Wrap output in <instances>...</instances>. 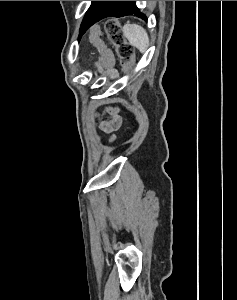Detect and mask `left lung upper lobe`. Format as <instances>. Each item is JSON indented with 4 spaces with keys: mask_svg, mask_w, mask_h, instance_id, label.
<instances>
[{
    "mask_svg": "<svg viewBox=\"0 0 237 300\" xmlns=\"http://www.w3.org/2000/svg\"><path fill=\"white\" fill-rule=\"evenodd\" d=\"M108 3L109 1H92L91 6L89 7L82 21L78 40H80L81 36L89 29L90 22L94 20L101 13V11ZM127 7L129 8V10H132L135 13L133 15L140 17L144 20H147L145 15L139 11L134 1H127Z\"/></svg>",
    "mask_w": 237,
    "mask_h": 300,
    "instance_id": "obj_1",
    "label": "left lung upper lobe"
}]
</instances>
